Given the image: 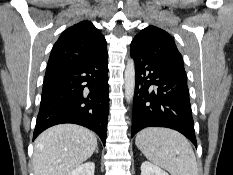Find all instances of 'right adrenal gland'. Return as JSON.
<instances>
[{"label":"right adrenal gland","mask_w":233,"mask_h":175,"mask_svg":"<svg viewBox=\"0 0 233 175\" xmlns=\"http://www.w3.org/2000/svg\"><path fill=\"white\" fill-rule=\"evenodd\" d=\"M96 152H97V153L99 152V151H98V148H97Z\"/></svg>","instance_id":"1"}]
</instances>
